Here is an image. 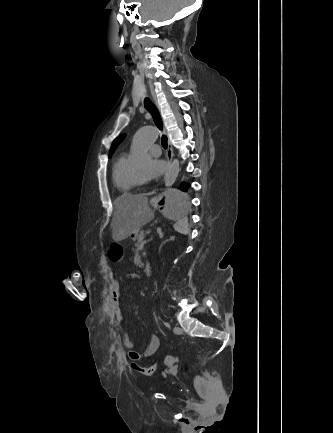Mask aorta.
Returning a JSON list of instances; mask_svg holds the SVG:
<instances>
[{"mask_svg":"<svg viewBox=\"0 0 333 433\" xmlns=\"http://www.w3.org/2000/svg\"><path fill=\"white\" fill-rule=\"evenodd\" d=\"M159 137V131L152 126L140 128L134 135L130 147L131 161L136 166H146L151 162V157L148 154L149 145L154 143ZM180 171V164L178 159H174L170 165L164 182L166 187L174 184L178 173Z\"/></svg>","mask_w":333,"mask_h":433,"instance_id":"762f6f07","label":"aorta"}]
</instances>
